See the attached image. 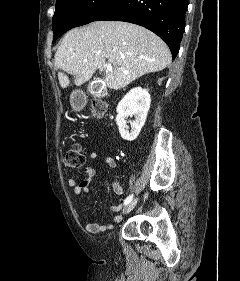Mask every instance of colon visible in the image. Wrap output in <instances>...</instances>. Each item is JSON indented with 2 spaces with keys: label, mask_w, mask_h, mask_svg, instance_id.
<instances>
[{
  "label": "colon",
  "mask_w": 240,
  "mask_h": 281,
  "mask_svg": "<svg viewBox=\"0 0 240 281\" xmlns=\"http://www.w3.org/2000/svg\"><path fill=\"white\" fill-rule=\"evenodd\" d=\"M105 104L103 102H94L91 106V112L94 116L101 117L105 112ZM85 163V156L80 144L73 143L66 150L64 156V164L69 169L80 168Z\"/></svg>",
  "instance_id": "colon-1"
}]
</instances>
